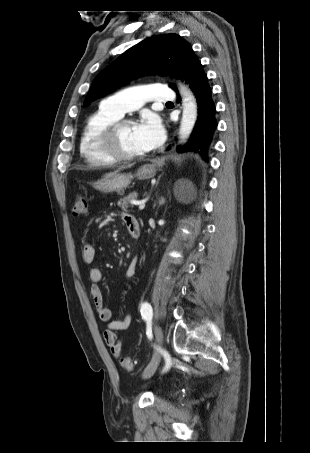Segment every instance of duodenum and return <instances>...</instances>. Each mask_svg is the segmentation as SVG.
<instances>
[{
    "label": "duodenum",
    "instance_id": "obj_1",
    "mask_svg": "<svg viewBox=\"0 0 310 453\" xmlns=\"http://www.w3.org/2000/svg\"><path fill=\"white\" fill-rule=\"evenodd\" d=\"M138 221V220H137ZM129 234L132 238H138L140 234V225L139 222L131 225L128 228Z\"/></svg>",
    "mask_w": 310,
    "mask_h": 453
}]
</instances>
